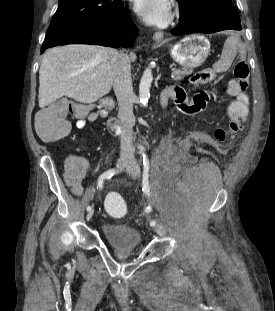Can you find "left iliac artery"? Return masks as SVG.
Segmentation results:
<instances>
[{
    "label": "left iliac artery",
    "instance_id": "44dca946",
    "mask_svg": "<svg viewBox=\"0 0 275 311\" xmlns=\"http://www.w3.org/2000/svg\"><path fill=\"white\" fill-rule=\"evenodd\" d=\"M143 165H144V169H143V180H142V190L144 191V193H146L148 196H150V188H149V160L148 158L143 155ZM147 212L152 211V207L148 206L147 207ZM156 224V221L152 220L150 222L151 226H154Z\"/></svg>",
    "mask_w": 275,
    "mask_h": 311
}]
</instances>
